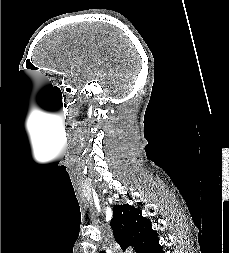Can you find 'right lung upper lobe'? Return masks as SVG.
<instances>
[{"instance_id": "cb5924a9", "label": "right lung upper lobe", "mask_w": 229, "mask_h": 253, "mask_svg": "<svg viewBox=\"0 0 229 253\" xmlns=\"http://www.w3.org/2000/svg\"><path fill=\"white\" fill-rule=\"evenodd\" d=\"M111 228L115 241L124 251L134 246L135 252L146 253L158 241V234L152 230L150 220L142 216L140 209L128 204L113 207Z\"/></svg>"}]
</instances>
